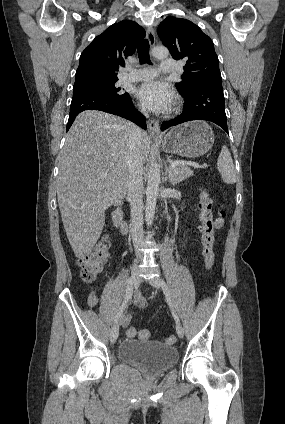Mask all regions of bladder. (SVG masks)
Segmentation results:
<instances>
[{
  "label": "bladder",
  "instance_id": "obj_1",
  "mask_svg": "<svg viewBox=\"0 0 285 424\" xmlns=\"http://www.w3.org/2000/svg\"><path fill=\"white\" fill-rule=\"evenodd\" d=\"M121 361L148 373H162L175 365L178 352L161 341L123 340L118 347Z\"/></svg>",
  "mask_w": 285,
  "mask_h": 424
}]
</instances>
